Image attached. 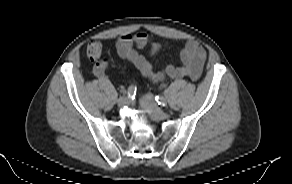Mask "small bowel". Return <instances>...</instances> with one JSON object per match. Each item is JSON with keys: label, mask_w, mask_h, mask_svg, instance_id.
<instances>
[{"label": "small bowel", "mask_w": 292, "mask_h": 184, "mask_svg": "<svg viewBox=\"0 0 292 184\" xmlns=\"http://www.w3.org/2000/svg\"><path fill=\"white\" fill-rule=\"evenodd\" d=\"M150 45L151 54H156L162 49V44L151 42L150 37L144 32L133 35H122L117 39L116 50L121 59L133 65L144 77L154 83L162 82L166 77L181 79L189 77L192 80L199 79L205 60V49L194 41H188L180 53L182 65H167L162 71L155 72L151 63L141 55L137 49ZM110 62L103 59L95 63L93 74L98 78L105 77Z\"/></svg>", "instance_id": "c3829d8e"}]
</instances>
